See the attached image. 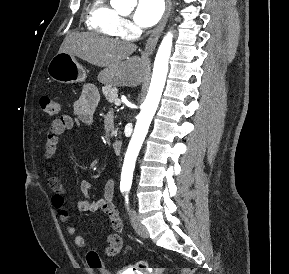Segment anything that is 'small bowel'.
<instances>
[{
	"mask_svg": "<svg viewBox=\"0 0 289 274\" xmlns=\"http://www.w3.org/2000/svg\"><path fill=\"white\" fill-rule=\"evenodd\" d=\"M98 89L93 85H87L83 89L81 95L74 102L75 118L70 115H61L54 119L47 132L44 146V162L47 167L45 176L48 186L52 190L51 203L56 209L59 219L62 223L67 224V232L69 235H75V244L80 248H85L87 238L83 235H76L77 229L68 224L69 212L65 207L66 189L56 176L51 172L53 160L56 155L60 136L66 131L71 130L74 124L91 125L93 115L99 102ZM115 191V183L112 178L107 179L103 195L99 199H94L91 196L92 185L88 181H83L80 184V192L82 197L77 201V209L80 212H96L100 211L108 217L111 223L112 233L107 238V247L105 253L108 256L118 254L123 248V223L120 219L117 208L113 203Z\"/></svg>",
	"mask_w": 289,
	"mask_h": 274,
	"instance_id": "1",
	"label": "small bowel"
}]
</instances>
